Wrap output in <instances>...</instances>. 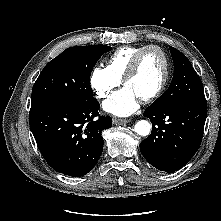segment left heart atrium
<instances>
[{"label": "left heart atrium", "instance_id": "1", "mask_svg": "<svg viewBox=\"0 0 221 221\" xmlns=\"http://www.w3.org/2000/svg\"><path fill=\"white\" fill-rule=\"evenodd\" d=\"M139 106V98L127 86L115 92L103 103L105 111L116 116H128Z\"/></svg>", "mask_w": 221, "mask_h": 221}]
</instances>
